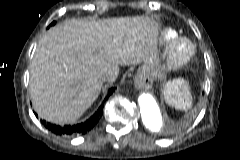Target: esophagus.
Returning a JSON list of instances; mask_svg holds the SVG:
<instances>
[{"mask_svg": "<svg viewBox=\"0 0 240 160\" xmlns=\"http://www.w3.org/2000/svg\"><path fill=\"white\" fill-rule=\"evenodd\" d=\"M134 86L137 90L150 89L153 86V80L147 73L141 72L135 77Z\"/></svg>", "mask_w": 240, "mask_h": 160, "instance_id": "1", "label": "esophagus"}]
</instances>
